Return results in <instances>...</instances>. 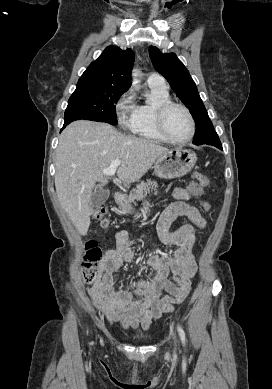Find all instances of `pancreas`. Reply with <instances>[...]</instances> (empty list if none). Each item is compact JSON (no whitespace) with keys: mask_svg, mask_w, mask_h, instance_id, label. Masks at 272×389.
Masks as SVG:
<instances>
[{"mask_svg":"<svg viewBox=\"0 0 272 389\" xmlns=\"http://www.w3.org/2000/svg\"><path fill=\"white\" fill-rule=\"evenodd\" d=\"M157 187L158 184L156 181L148 180L147 182H141L137 186L136 194L129 195L128 200L130 202H133L134 200H142L143 197L147 196V194H149L151 190L156 191Z\"/></svg>","mask_w":272,"mask_h":389,"instance_id":"cf45deb5","label":"pancreas"}]
</instances>
